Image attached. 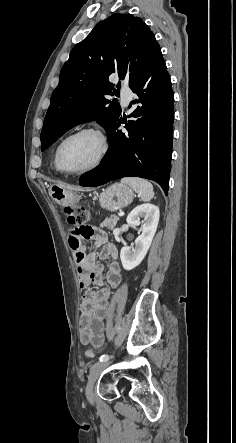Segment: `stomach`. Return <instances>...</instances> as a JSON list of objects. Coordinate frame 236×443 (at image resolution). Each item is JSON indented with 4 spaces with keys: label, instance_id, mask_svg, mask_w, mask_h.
<instances>
[{
    "label": "stomach",
    "instance_id": "obj_1",
    "mask_svg": "<svg viewBox=\"0 0 236 443\" xmlns=\"http://www.w3.org/2000/svg\"><path fill=\"white\" fill-rule=\"evenodd\" d=\"M50 195L52 199L60 205H71L78 201V195L60 185H55L50 188ZM134 198L132 189L122 183H114L108 186L100 194V205L102 208L114 212L121 210L129 205Z\"/></svg>",
    "mask_w": 236,
    "mask_h": 443
}]
</instances>
